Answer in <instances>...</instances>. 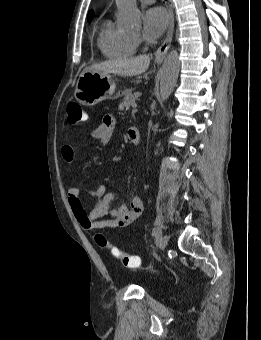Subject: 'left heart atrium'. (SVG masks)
<instances>
[{"instance_id": "39dd6f15", "label": "left heart atrium", "mask_w": 261, "mask_h": 340, "mask_svg": "<svg viewBox=\"0 0 261 340\" xmlns=\"http://www.w3.org/2000/svg\"><path fill=\"white\" fill-rule=\"evenodd\" d=\"M143 32L147 39L156 40L170 23V15L160 6L147 9L143 15Z\"/></svg>"}]
</instances>
